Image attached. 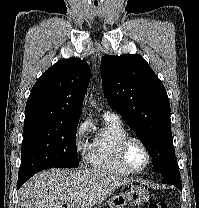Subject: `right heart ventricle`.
Listing matches in <instances>:
<instances>
[{
  "mask_svg": "<svg viewBox=\"0 0 199 208\" xmlns=\"http://www.w3.org/2000/svg\"><path fill=\"white\" fill-rule=\"evenodd\" d=\"M129 135L120 119L103 117L101 128L95 133L87 155L89 165L100 171L117 175H130L120 162L118 149L121 141Z\"/></svg>",
  "mask_w": 199,
  "mask_h": 208,
  "instance_id": "right-heart-ventricle-1",
  "label": "right heart ventricle"
}]
</instances>
